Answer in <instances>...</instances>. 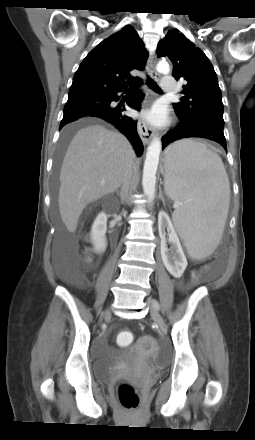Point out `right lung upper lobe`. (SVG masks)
<instances>
[{
	"instance_id": "1",
	"label": "right lung upper lobe",
	"mask_w": 255,
	"mask_h": 440,
	"mask_svg": "<svg viewBox=\"0 0 255 440\" xmlns=\"http://www.w3.org/2000/svg\"><path fill=\"white\" fill-rule=\"evenodd\" d=\"M147 57L137 32L126 25L85 57L75 73L68 98L111 92L139 80L132 77L130 71L143 70Z\"/></svg>"
}]
</instances>
